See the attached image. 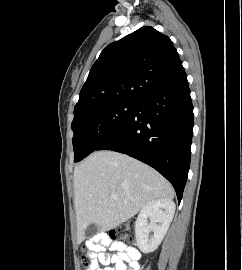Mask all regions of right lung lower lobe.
<instances>
[{
  "mask_svg": "<svg viewBox=\"0 0 242 270\" xmlns=\"http://www.w3.org/2000/svg\"><path fill=\"white\" fill-rule=\"evenodd\" d=\"M193 105L182 67L151 87L123 126L96 150L134 157L160 172L181 201L191 159Z\"/></svg>",
  "mask_w": 242,
  "mask_h": 270,
  "instance_id": "obj_1",
  "label": "right lung lower lobe"
}]
</instances>
